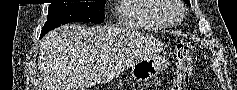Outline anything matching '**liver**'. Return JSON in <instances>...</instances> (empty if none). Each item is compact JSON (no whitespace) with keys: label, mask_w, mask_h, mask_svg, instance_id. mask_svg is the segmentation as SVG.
Instances as JSON below:
<instances>
[{"label":"liver","mask_w":237,"mask_h":90,"mask_svg":"<svg viewBox=\"0 0 237 90\" xmlns=\"http://www.w3.org/2000/svg\"><path fill=\"white\" fill-rule=\"evenodd\" d=\"M116 28L76 24L48 32L41 44L39 68L44 90H88L118 66ZM96 64V66H94Z\"/></svg>","instance_id":"liver-1"}]
</instances>
